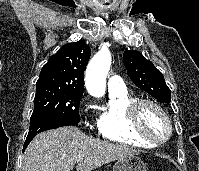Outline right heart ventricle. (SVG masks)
<instances>
[{
    "label": "right heart ventricle",
    "mask_w": 199,
    "mask_h": 171,
    "mask_svg": "<svg viewBox=\"0 0 199 171\" xmlns=\"http://www.w3.org/2000/svg\"><path fill=\"white\" fill-rule=\"evenodd\" d=\"M135 99L137 98L126 88L109 91V101L98 116V133L104 139L122 144L137 147H155V143L140 137L133 131L129 108Z\"/></svg>",
    "instance_id": "obj_1"
}]
</instances>
